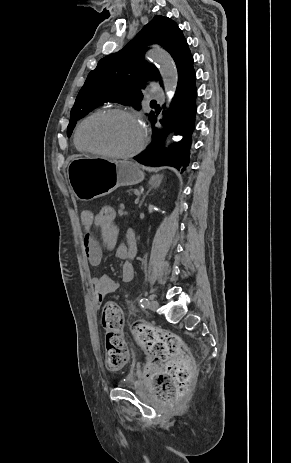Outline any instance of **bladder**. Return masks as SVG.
I'll return each mask as SVG.
<instances>
[{
    "label": "bladder",
    "instance_id": "31cf9c89",
    "mask_svg": "<svg viewBox=\"0 0 291 463\" xmlns=\"http://www.w3.org/2000/svg\"><path fill=\"white\" fill-rule=\"evenodd\" d=\"M120 385L126 388H137L141 383L134 375H128L120 381Z\"/></svg>",
    "mask_w": 291,
    "mask_h": 463
}]
</instances>
